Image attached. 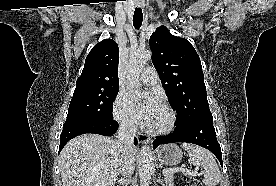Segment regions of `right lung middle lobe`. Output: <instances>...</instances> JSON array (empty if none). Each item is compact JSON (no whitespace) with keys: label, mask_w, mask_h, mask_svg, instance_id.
Instances as JSON below:
<instances>
[{"label":"right lung middle lobe","mask_w":276,"mask_h":186,"mask_svg":"<svg viewBox=\"0 0 276 186\" xmlns=\"http://www.w3.org/2000/svg\"><path fill=\"white\" fill-rule=\"evenodd\" d=\"M119 87H91L75 89L69 105L67 120L112 118L113 100Z\"/></svg>","instance_id":"dd1d6c3e"}]
</instances>
